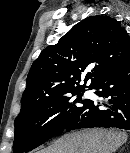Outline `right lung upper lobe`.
<instances>
[{
	"instance_id": "obj_1",
	"label": "right lung upper lobe",
	"mask_w": 130,
	"mask_h": 153,
	"mask_svg": "<svg viewBox=\"0 0 130 153\" xmlns=\"http://www.w3.org/2000/svg\"><path fill=\"white\" fill-rule=\"evenodd\" d=\"M128 61L130 39L119 22L109 16L87 17L34 61L19 115L45 102L85 91L87 84L93 89L104 75ZM85 72L84 84L79 85Z\"/></svg>"
}]
</instances>
